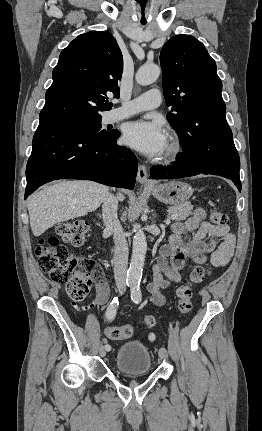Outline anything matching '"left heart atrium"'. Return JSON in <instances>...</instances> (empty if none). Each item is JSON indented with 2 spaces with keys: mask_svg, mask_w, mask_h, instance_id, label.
<instances>
[{
  "mask_svg": "<svg viewBox=\"0 0 262 431\" xmlns=\"http://www.w3.org/2000/svg\"><path fill=\"white\" fill-rule=\"evenodd\" d=\"M123 141L146 156L156 157L166 149L168 135L158 120L140 119L127 125Z\"/></svg>",
  "mask_w": 262,
  "mask_h": 431,
  "instance_id": "left-heart-atrium-1",
  "label": "left heart atrium"
}]
</instances>
